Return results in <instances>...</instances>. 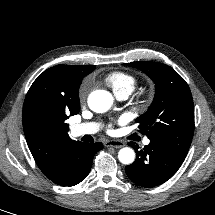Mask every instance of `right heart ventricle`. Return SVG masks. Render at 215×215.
I'll return each instance as SVG.
<instances>
[{
    "mask_svg": "<svg viewBox=\"0 0 215 215\" xmlns=\"http://www.w3.org/2000/svg\"><path fill=\"white\" fill-rule=\"evenodd\" d=\"M104 81L111 87L115 95L123 92L131 94L137 85V78L124 71L110 72L105 76Z\"/></svg>",
    "mask_w": 215,
    "mask_h": 215,
    "instance_id": "right-heart-ventricle-1",
    "label": "right heart ventricle"
}]
</instances>
